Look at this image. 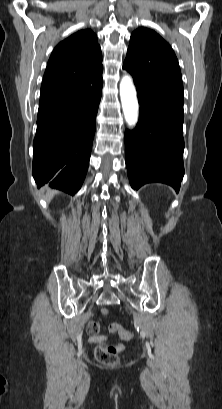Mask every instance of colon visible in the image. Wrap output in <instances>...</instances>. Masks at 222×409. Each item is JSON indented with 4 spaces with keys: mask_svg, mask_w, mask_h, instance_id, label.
I'll return each mask as SVG.
<instances>
[{
    "mask_svg": "<svg viewBox=\"0 0 222 409\" xmlns=\"http://www.w3.org/2000/svg\"><path fill=\"white\" fill-rule=\"evenodd\" d=\"M108 310L103 309L102 315L107 316ZM109 331L111 333H117L123 340H131L133 338V333L129 330H126L119 323H112L109 325ZM123 351L122 344H108L100 345L96 349L97 359L106 365H115L119 361V355Z\"/></svg>",
    "mask_w": 222,
    "mask_h": 409,
    "instance_id": "5ec220e1",
    "label": "colon"
}]
</instances>
